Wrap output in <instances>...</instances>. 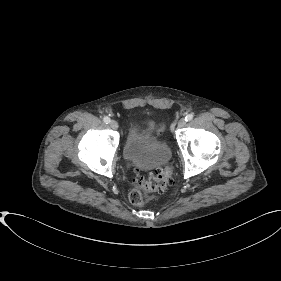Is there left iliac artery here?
<instances>
[{"mask_svg":"<svg viewBox=\"0 0 281 281\" xmlns=\"http://www.w3.org/2000/svg\"><path fill=\"white\" fill-rule=\"evenodd\" d=\"M193 119V114H188V115H186V117H185V120L186 121H191Z\"/></svg>","mask_w":281,"mask_h":281,"instance_id":"obj_1","label":"left iliac artery"}]
</instances>
